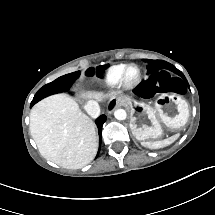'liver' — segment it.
Instances as JSON below:
<instances>
[{
	"instance_id": "obj_1",
	"label": "liver",
	"mask_w": 215,
	"mask_h": 215,
	"mask_svg": "<svg viewBox=\"0 0 215 215\" xmlns=\"http://www.w3.org/2000/svg\"><path fill=\"white\" fill-rule=\"evenodd\" d=\"M121 94L95 90L76 93L80 98L97 101ZM29 128L40 154L61 167L82 168L97 154L95 123L83 113L75 98L56 93L41 99L30 111Z\"/></svg>"
}]
</instances>
